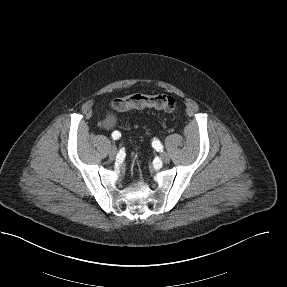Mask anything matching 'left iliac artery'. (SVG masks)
<instances>
[{
  "label": "left iliac artery",
  "mask_w": 287,
  "mask_h": 287,
  "mask_svg": "<svg viewBox=\"0 0 287 287\" xmlns=\"http://www.w3.org/2000/svg\"><path fill=\"white\" fill-rule=\"evenodd\" d=\"M152 145L157 151H162L163 150V145L157 139L153 140Z\"/></svg>",
  "instance_id": "obj_1"
}]
</instances>
